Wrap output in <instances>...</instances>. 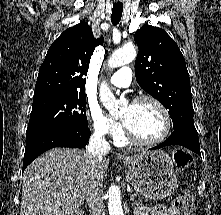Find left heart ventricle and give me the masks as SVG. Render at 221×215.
Instances as JSON below:
<instances>
[{
	"label": "left heart ventricle",
	"mask_w": 221,
	"mask_h": 215,
	"mask_svg": "<svg viewBox=\"0 0 221 215\" xmlns=\"http://www.w3.org/2000/svg\"><path fill=\"white\" fill-rule=\"evenodd\" d=\"M121 118L134 135L144 140L156 139L163 131V116L149 101L125 106Z\"/></svg>",
	"instance_id": "left-heart-ventricle-1"
}]
</instances>
